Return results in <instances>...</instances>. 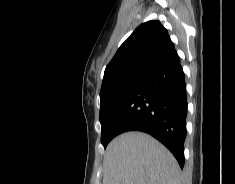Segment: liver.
<instances>
[{
  "label": "liver",
  "mask_w": 235,
  "mask_h": 184,
  "mask_svg": "<svg viewBox=\"0 0 235 184\" xmlns=\"http://www.w3.org/2000/svg\"><path fill=\"white\" fill-rule=\"evenodd\" d=\"M103 184H180V168L160 142L126 132L107 146Z\"/></svg>",
  "instance_id": "1"
}]
</instances>
